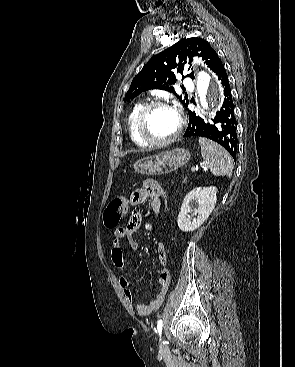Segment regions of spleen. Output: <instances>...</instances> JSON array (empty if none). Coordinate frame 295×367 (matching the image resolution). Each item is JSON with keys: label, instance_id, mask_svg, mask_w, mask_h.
Here are the masks:
<instances>
[{"label": "spleen", "instance_id": "obj_1", "mask_svg": "<svg viewBox=\"0 0 295 367\" xmlns=\"http://www.w3.org/2000/svg\"><path fill=\"white\" fill-rule=\"evenodd\" d=\"M203 165L215 176L231 177L233 160L229 153L219 144L205 138H199Z\"/></svg>", "mask_w": 295, "mask_h": 367}]
</instances>
